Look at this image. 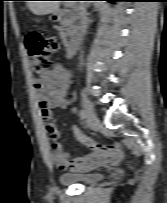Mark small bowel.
I'll return each instance as SVG.
<instances>
[{
    "instance_id": "small-bowel-1",
    "label": "small bowel",
    "mask_w": 167,
    "mask_h": 203,
    "mask_svg": "<svg viewBox=\"0 0 167 203\" xmlns=\"http://www.w3.org/2000/svg\"><path fill=\"white\" fill-rule=\"evenodd\" d=\"M33 85L40 93L39 105L51 140L52 160L60 169L84 172L106 165H115L122 159L123 151L119 143L109 145L98 143L83 134L77 125H74L72 130L76 139L89 149L86 154L71 158L58 142L59 133L55 126L53 113L55 110L65 109L69 105L70 70L66 66L57 65L42 73L34 78Z\"/></svg>"
}]
</instances>
